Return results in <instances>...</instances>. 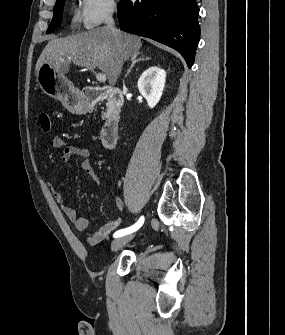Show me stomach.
Instances as JSON below:
<instances>
[{
	"instance_id": "0dacf381",
	"label": "stomach",
	"mask_w": 285,
	"mask_h": 335,
	"mask_svg": "<svg viewBox=\"0 0 285 335\" xmlns=\"http://www.w3.org/2000/svg\"><path fill=\"white\" fill-rule=\"evenodd\" d=\"M36 80L44 94L50 98L59 100L74 112L83 110L85 100H83L81 92L65 78L64 74H61L58 68H53L49 62H44L39 66Z\"/></svg>"
}]
</instances>
